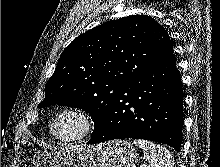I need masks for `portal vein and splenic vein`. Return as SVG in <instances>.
<instances>
[{"label":"portal vein and splenic vein","instance_id":"obj_1","mask_svg":"<svg viewBox=\"0 0 220 167\" xmlns=\"http://www.w3.org/2000/svg\"><path fill=\"white\" fill-rule=\"evenodd\" d=\"M140 167H145V165H141Z\"/></svg>","mask_w":220,"mask_h":167}]
</instances>
